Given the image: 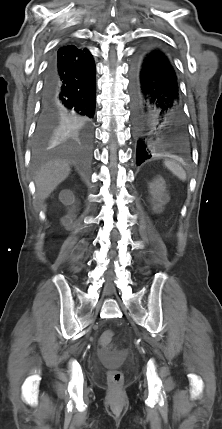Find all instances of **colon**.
Returning <instances> with one entry per match:
<instances>
[{
  "label": "colon",
  "instance_id": "obj_1",
  "mask_svg": "<svg viewBox=\"0 0 222 429\" xmlns=\"http://www.w3.org/2000/svg\"><path fill=\"white\" fill-rule=\"evenodd\" d=\"M114 333L111 330H106L100 337V344L102 347L109 348L112 344ZM124 380V375L120 370H110L108 372V382L113 388L119 387Z\"/></svg>",
  "mask_w": 222,
  "mask_h": 429
}]
</instances>
